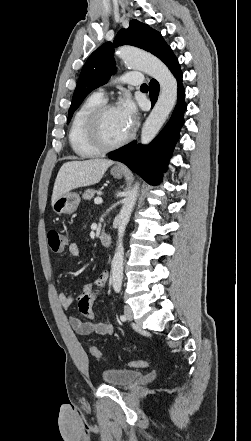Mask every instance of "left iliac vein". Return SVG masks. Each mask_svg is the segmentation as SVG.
Instances as JSON below:
<instances>
[{"mask_svg": "<svg viewBox=\"0 0 251 441\" xmlns=\"http://www.w3.org/2000/svg\"><path fill=\"white\" fill-rule=\"evenodd\" d=\"M124 313H125V316L128 320H130V321L133 320V312L129 306H125Z\"/></svg>", "mask_w": 251, "mask_h": 441, "instance_id": "4c4485c4", "label": "left iliac vein"}]
</instances>
